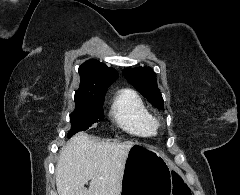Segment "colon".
I'll return each mask as SVG.
<instances>
[{"instance_id":"obj_1","label":"colon","mask_w":240,"mask_h":195,"mask_svg":"<svg viewBox=\"0 0 240 195\" xmlns=\"http://www.w3.org/2000/svg\"><path fill=\"white\" fill-rule=\"evenodd\" d=\"M175 195H190L187 186H174Z\"/></svg>"}]
</instances>
